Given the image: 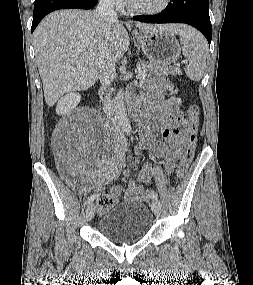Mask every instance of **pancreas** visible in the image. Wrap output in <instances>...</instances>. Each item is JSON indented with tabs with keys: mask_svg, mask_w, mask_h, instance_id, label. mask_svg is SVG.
<instances>
[{
	"mask_svg": "<svg viewBox=\"0 0 253 285\" xmlns=\"http://www.w3.org/2000/svg\"><path fill=\"white\" fill-rule=\"evenodd\" d=\"M141 71L149 75H182L179 66H162L151 62H143L141 64Z\"/></svg>",
	"mask_w": 253,
	"mask_h": 285,
	"instance_id": "cf45deb5",
	"label": "pancreas"
}]
</instances>
